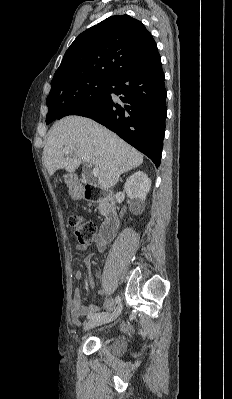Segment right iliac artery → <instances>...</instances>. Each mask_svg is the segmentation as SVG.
I'll return each mask as SVG.
<instances>
[{
  "label": "right iliac artery",
  "instance_id": "right-iliac-artery-1",
  "mask_svg": "<svg viewBox=\"0 0 232 399\" xmlns=\"http://www.w3.org/2000/svg\"><path fill=\"white\" fill-rule=\"evenodd\" d=\"M120 300H121V299H120V296L117 295V296L115 297V302H116V303H119ZM107 315H108L107 312H102L101 314H96V315L91 314V315H88L87 319H88V320H92V319H94V318L105 317V316H107Z\"/></svg>",
  "mask_w": 232,
  "mask_h": 399
}]
</instances>
